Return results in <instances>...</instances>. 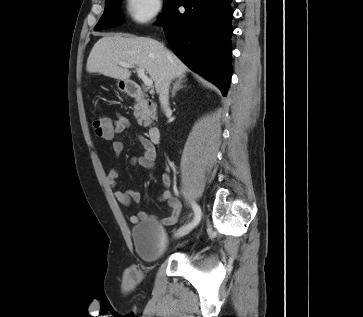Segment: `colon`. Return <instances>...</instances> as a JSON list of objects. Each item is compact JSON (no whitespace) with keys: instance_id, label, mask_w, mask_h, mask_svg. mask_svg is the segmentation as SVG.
Masks as SVG:
<instances>
[{"instance_id":"5ec220e1","label":"colon","mask_w":363,"mask_h":317,"mask_svg":"<svg viewBox=\"0 0 363 317\" xmlns=\"http://www.w3.org/2000/svg\"><path fill=\"white\" fill-rule=\"evenodd\" d=\"M93 128L96 133L106 131L110 128V122L104 117H96L93 119Z\"/></svg>"}]
</instances>
